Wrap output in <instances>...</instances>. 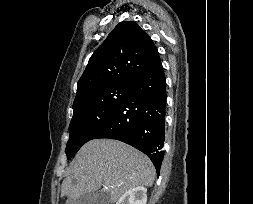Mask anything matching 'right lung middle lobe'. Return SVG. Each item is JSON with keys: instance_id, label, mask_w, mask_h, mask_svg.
Listing matches in <instances>:
<instances>
[{"instance_id": "dd1d6c3e", "label": "right lung middle lobe", "mask_w": 253, "mask_h": 204, "mask_svg": "<svg viewBox=\"0 0 253 204\" xmlns=\"http://www.w3.org/2000/svg\"><path fill=\"white\" fill-rule=\"evenodd\" d=\"M130 83H120L93 91L73 103V117L66 155L70 159L80 147L92 140L120 106L130 90Z\"/></svg>"}]
</instances>
